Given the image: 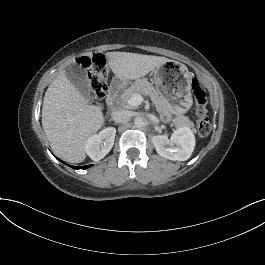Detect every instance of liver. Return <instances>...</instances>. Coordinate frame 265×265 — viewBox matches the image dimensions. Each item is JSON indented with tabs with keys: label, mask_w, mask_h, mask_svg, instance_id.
<instances>
[{
	"label": "liver",
	"mask_w": 265,
	"mask_h": 265,
	"mask_svg": "<svg viewBox=\"0 0 265 265\" xmlns=\"http://www.w3.org/2000/svg\"><path fill=\"white\" fill-rule=\"evenodd\" d=\"M108 66L119 80H138L170 60L160 56L107 52ZM105 125L102 107L87 99L62 71L48 87L42 106V127L53 152L70 163L87 158L88 140Z\"/></svg>",
	"instance_id": "6515ba94"
}]
</instances>
